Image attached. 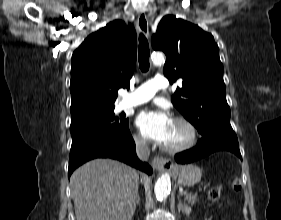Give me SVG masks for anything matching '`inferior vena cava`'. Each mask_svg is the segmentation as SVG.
I'll use <instances>...</instances> for the list:
<instances>
[{
    "mask_svg": "<svg viewBox=\"0 0 281 220\" xmlns=\"http://www.w3.org/2000/svg\"><path fill=\"white\" fill-rule=\"evenodd\" d=\"M136 143V153L139 159L142 161H146L150 156V149L147 142L143 139L137 138L135 139Z\"/></svg>",
    "mask_w": 281,
    "mask_h": 220,
    "instance_id": "602c4592",
    "label": "inferior vena cava"
}]
</instances>
